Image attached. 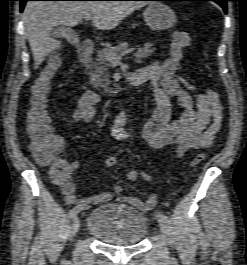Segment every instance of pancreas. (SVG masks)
Returning <instances> with one entry per match:
<instances>
[{"label": "pancreas", "instance_id": "pancreas-1", "mask_svg": "<svg viewBox=\"0 0 247 265\" xmlns=\"http://www.w3.org/2000/svg\"><path fill=\"white\" fill-rule=\"evenodd\" d=\"M128 44L121 43L116 47L104 48L97 51L96 62L92 65V71L90 72V81L92 85L98 89L103 90L104 94L113 93L111 88V81L109 79V55H120L124 50H126ZM154 49L149 48H138L137 52L134 54L135 62L142 63L143 60L147 59L153 53Z\"/></svg>", "mask_w": 247, "mask_h": 265}]
</instances>
